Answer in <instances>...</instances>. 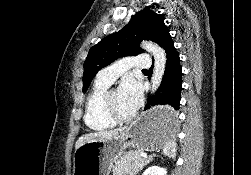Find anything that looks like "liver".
<instances>
[{
    "label": "liver",
    "instance_id": "obj_1",
    "mask_svg": "<svg viewBox=\"0 0 251 175\" xmlns=\"http://www.w3.org/2000/svg\"><path fill=\"white\" fill-rule=\"evenodd\" d=\"M125 129H127V127H118V129H111V131H94V133H85V135H81V137L77 139L75 149H78V147H80L82 143H85V141H94V139H99V141H103V139H113V137L121 135Z\"/></svg>",
    "mask_w": 251,
    "mask_h": 175
}]
</instances>
